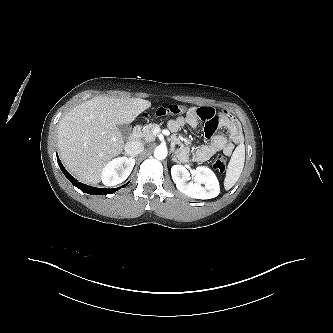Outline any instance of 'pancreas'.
I'll list each match as a JSON object with an SVG mask.
<instances>
[{
  "label": "pancreas",
  "mask_w": 333,
  "mask_h": 333,
  "mask_svg": "<svg viewBox=\"0 0 333 333\" xmlns=\"http://www.w3.org/2000/svg\"><path fill=\"white\" fill-rule=\"evenodd\" d=\"M158 127L157 124H149L144 126L143 128L138 129L137 137L139 139H144L146 142H151L155 139V135L153 134V130Z\"/></svg>",
  "instance_id": "pancreas-1"
}]
</instances>
